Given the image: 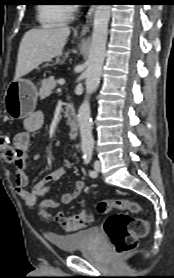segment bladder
Wrapping results in <instances>:
<instances>
[{
    "mask_svg": "<svg viewBox=\"0 0 174 278\" xmlns=\"http://www.w3.org/2000/svg\"><path fill=\"white\" fill-rule=\"evenodd\" d=\"M99 238V230L87 228L68 235H50L49 240L61 251L71 253L88 247Z\"/></svg>",
    "mask_w": 174,
    "mask_h": 278,
    "instance_id": "31cf9c89",
    "label": "bladder"
}]
</instances>
